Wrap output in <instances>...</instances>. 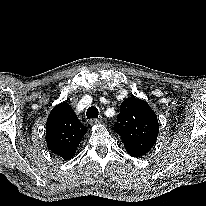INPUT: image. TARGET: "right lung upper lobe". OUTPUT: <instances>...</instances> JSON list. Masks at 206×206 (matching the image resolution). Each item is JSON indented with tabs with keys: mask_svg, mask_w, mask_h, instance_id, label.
<instances>
[{
	"mask_svg": "<svg viewBox=\"0 0 206 206\" xmlns=\"http://www.w3.org/2000/svg\"><path fill=\"white\" fill-rule=\"evenodd\" d=\"M87 132L74 110L63 102L50 112L46 122V142L52 153L64 160L71 159Z\"/></svg>",
	"mask_w": 206,
	"mask_h": 206,
	"instance_id": "obj_1",
	"label": "right lung upper lobe"
}]
</instances>
